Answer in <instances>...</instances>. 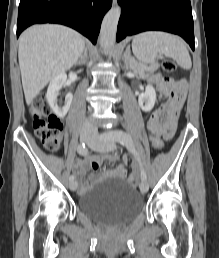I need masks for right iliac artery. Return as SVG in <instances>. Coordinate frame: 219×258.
I'll use <instances>...</instances> for the list:
<instances>
[{
  "label": "right iliac artery",
  "mask_w": 219,
  "mask_h": 258,
  "mask_svg": "<svg viewBox=\"0 0 219 258\" xmlns=\"http://www.w3.org/2000/svg\"><path fill=\"white\" fill-rule=\"evenodd\" d=\"M77 152L79 153V155L86 156V155L88 154V149H87V147L85 146V144L82 143V144H79V145H78V147H77ZM74 178H75L74 175H71V176L69 177V180H70V181H73Z\"/></svg>",
  "instance_id": "obj_1"
}]
</instances>
